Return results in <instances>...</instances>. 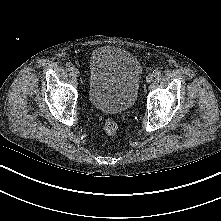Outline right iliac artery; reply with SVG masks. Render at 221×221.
<instances>
[{
  "label": "right iliac artery",
  "mask_w": 221,
  "mask_h": 221,
  "mask_svg": "<svg viewBox=\"0 0 221 221\" xmlns=\"http://www.w3.org/2000/svg\"><path fill=\"white\" fill-rule=\"evenodd\" d=\"M65 68L70 71L74 68V66L72 63L68 62V63H66Z\"/></svg>",
  "instance_id": "1"
}]
</instances>
